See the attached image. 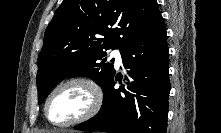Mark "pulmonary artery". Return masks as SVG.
<instances>
[{"label":"pulmonary artery","instance_id":"1","mask_svg":"<svg viewBox=\"0 0 221 133\" xmlns=\"http://www.w3.org/2000/svg\"><path fill=\"white\" fill-rule=\"evenodd\" d=\"M111 56L115 58V64L117 67L122 65V56L119 49L113 50Z\"/></svg>","mask_w":221,"mask_h":133}]
</instances>
